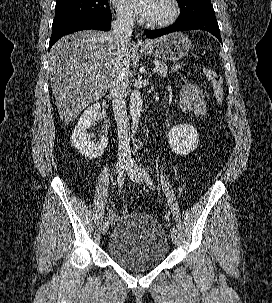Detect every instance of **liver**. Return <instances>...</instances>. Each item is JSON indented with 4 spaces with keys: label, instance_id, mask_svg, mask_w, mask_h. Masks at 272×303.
I'll list each match as a JSON object with an SVG mask.
<instances>
[{
    "label": "liver",
    "instance_id": "6515ba94",
    "mask_svg": "<svg viewBox=\"0 0 272 303\" xmlns=\"http://www.w3.org/2000/svg\"><path fill=\"white\" fill-rule=\"evenodd\" d=\"M127 48L131 58L133 43ZM115 52L112 33L96 30L75 32L53 45L49 73L62 122H72L83 109L106 94L111 85Z\"/></svg>",
    "mask_w": 272,
    "mask_h": 303
}]
</instances>
